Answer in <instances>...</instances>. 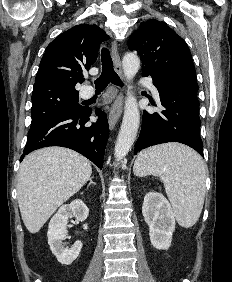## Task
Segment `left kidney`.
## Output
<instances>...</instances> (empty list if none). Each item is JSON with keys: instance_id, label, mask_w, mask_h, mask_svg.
<instances>
[{"instance_id": "obj_1", "label": "left kidney", "mask_w": 232, "mask_h": 282, "mask_svg": "<svg viewBox=\"0 0 232 282\" xmlns=\"http://www.w3.org/2000/svg\"><path fill=\"white\" fill-rule=\"evenodd\" d=\"M142 214L149 226L153 247L167 250L175 230V217L168 200L158 192H149L144 197Z\"/></svg>"}]
</instances>
